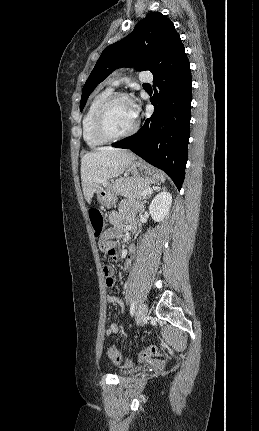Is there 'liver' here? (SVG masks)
I'll return each instance as SVG.
<instances>
[{
	"mask_svg": "<svg viewBox=\"0 0 259 431\" xmlns=\"http://www.w3.org/2000/svg\"><path fill=\"white\" fill-rule=\"evenodd\" d=\"M136 156L124 149L100 147L81 159V181L86 201L91 199L100 185L121 175Z\"/></svg>",
	"mask_w": 259,
	"mask_h": 431,
	"instance_id": "6515ba94",
	"label": "liver"
}]
</instances>
